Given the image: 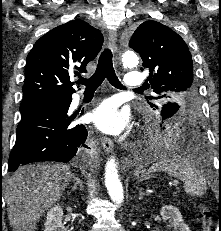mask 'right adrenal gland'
<instances>
[{
	"label": "right adrenal gland",
	"mask_w": 221,
	"mask_h": 231,
	"mask_svg": "<svg viewBox=\"0 0 221 231\" xmlns=\"http://www.w3.org/2000/svg\"><path fill=\"white\" fill-rule=\"evenodd\" d=\"M72 178L74 182L73 187H72L73 191L77 190L78 187L80 188V191H83L84 186H83L82 180H80V178L75 174H72Z\"/></svg>",
	"instance_id": "obj_1"
}]
</instances>
